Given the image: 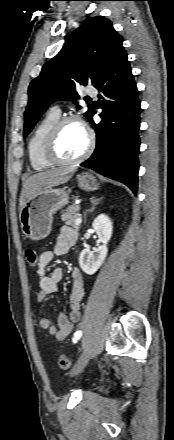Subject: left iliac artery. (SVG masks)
<instances>
[{"label": "left iliac artery", "mask_w": 174, "mask_h": 440, "mask_svg": "<svg viewBox=\"0 0 174 440\" xmlns=\"http://www.w3.org/2000/svg\"><path fill=\"white\" fill-rule=\"evenodd\" d=\"M81 335H82V332H81V331H77V332L74 334L73 342L76 343V342L80 339Z\"/></svg>", "instance_id": "left-iliac-artery-1"}]
</instances>
